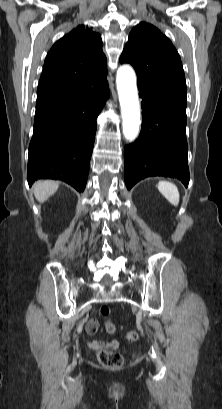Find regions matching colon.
<instances>
[{"label": "colon", "instance_id": "5ec220e1", "mask_svg": "<svg viewBox=\"0 0 222 409\" xmlns=\"http://www.w3.org/2000/svg\"><path fill=\"white\" fill-rule=\"evenodd\" d=\"M100 312L103 316H108L110 314L109 306L103 305ZM106 330L109 333H113L116 330L115 324L108 322L106 324ZM126 338L130 342H136L139 340V334L138 332L131 330L126 333ZM98 360L104 367L110 369L120 368L124 364V357L121 353L108 349H102L98 352Z\"/></svg>", "mask_w": 222, "mask_h": 409}]
</instances>
